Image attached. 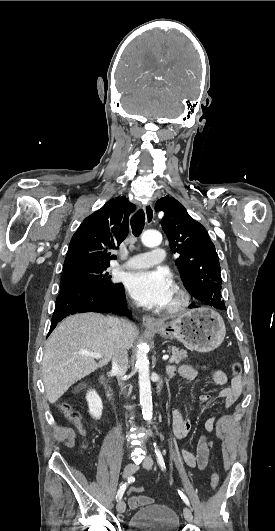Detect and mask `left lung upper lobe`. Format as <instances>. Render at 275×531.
I'll list each match as a JSON object with an SVG mask.
<instances>
[{
  "mask_svg": "<svg viewBox=\"0 0 275 531\" xmlns=\"http://www.w3.org/2000/svg\"><path fill=\"white\" fill-rule=\"evenodd\" d=\"M155 210L164 212L160 223L170 248L180 254L176 264L188 292L205 305L224 310L219 259L203 225L191 218L179 201L169 196L159 199ZM192 307L195 306L190 305Z\"/></svg>",
  "mask_w": 275,
  "mask_h": 531,
  "instance_id": "left-lung-upper-lobe-1",
  "label": "left lung upper lobe"
}]
</instances>
